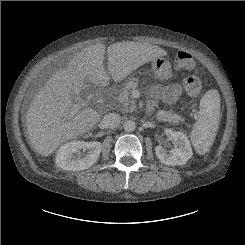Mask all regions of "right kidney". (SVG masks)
Here are the masks:
<instances>
[{"mask_svg": "<svg viewBox=\"0 0 245 245\" xmlns=\"http://www.w3.org/2000/svg\"><path fill=\"white\" fill-rule=\"evenodd\" d=\"M101 149L102 145L97 141H71L59 148L55 162L64 170L81 171L97 162ZM81 150L87 152L82 154Z\"/></svg>", "mask_w": 245, "mask_h": 245, "instance_id": "1", "label": "right kidney"}]
</instances>
